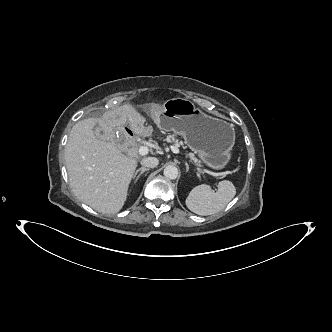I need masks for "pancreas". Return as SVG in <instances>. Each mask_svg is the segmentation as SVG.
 <instances>
[{
  "label": "pancreas",
  "mask_w": 332,
  "mask_h": 332,
  "mask_svg": "<svg viewBox=\"0 0 332 332\" xmlns=\"http://www.w3.org/2000/svg\"><path fill=\"white\" fill-rule=\"evenodd\" d=\"M165 140H166L167 142H172V143H174L175 145L178 144V140H177L174 136H172V135L167 136ZM188 155H189V157L191 158V160H193L197 165H200V161H198L197 158L194 157V154H193V153H190V154H188Z\"/></svg>",
  "instance_id": "obj_1"
}]
</instances>
